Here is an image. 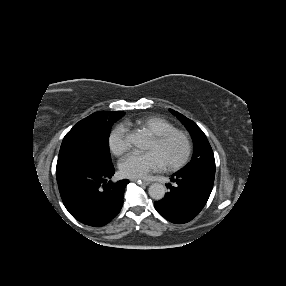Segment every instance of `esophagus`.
I'll use <instances>...</instances> for the list:
<instances>
[{"instance_id":"obj_1","label":"esophagus","mask_w":286,"mask_h":286,"mask_svg":"<svg viewBox=\"0 0 286 286\" xmlns=\"http://www.w3.org/2000/svg\"><path fill=\"white\" fill-rule=\"evenodd\" d=\"M136 182H137L138 184H140V185H145V186L151 184V182H150V181H147V180H139V181H136Z\"/></svg>"}]
</instances>
